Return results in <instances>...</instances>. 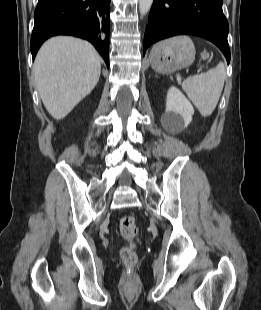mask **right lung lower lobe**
<instances>
[{"label":"right lung lower lobe","instance_id":"right-lung-lower-lobe-1","mask_svg":"<svg viewBox=\"0 0 261 310\" xmlns=\"http://www.w3.org/2000/svg\"><path fill=\"white\" fill-rule=\"evenodd\" d=\"M110 0H39L31 37L33 59L42 43L54 35L90 41L109 66Z\"/></svg>","mask_w":261,"mask_h":310}]
</instances>
